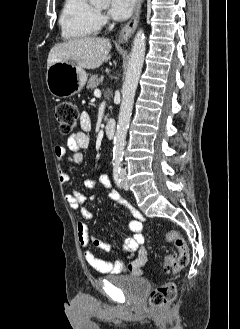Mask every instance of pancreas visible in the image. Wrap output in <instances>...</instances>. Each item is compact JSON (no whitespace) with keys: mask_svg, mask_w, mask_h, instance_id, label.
<instances>
[{"mask_svg":"<svg viewBox=\"0 0 240 329\" xmlns=\"http://www.w3.org/2000/svg\"><path fill=\"white\" fill-rule=\"evenodd\" d=\"M103 81V76H98V75H92L88 81L87 88L88 89H93L98 87Z\"/></svg>","mask_w":240,"mask_h":329,"instance_id":"obj_1","label":"pancreas"}]
</instances>
